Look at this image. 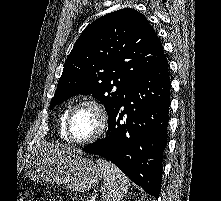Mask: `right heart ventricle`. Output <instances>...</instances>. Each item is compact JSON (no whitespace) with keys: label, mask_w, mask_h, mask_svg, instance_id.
<instances>
[{"label":"right heart ventricle","mask_w":221,"mask_h":201,"mask_svg":"<svg viewBox=\"0 0 221 201\" xmlns=\"http://www.w3.org/2000/svg\"><path fill=\"white\" fill-rule=\"evenodd\" d=\"M70 108L64 109L60 116H59V121H58V129H59V135L64 141H69L67 135H66V130H65V124H66V117L68 114Z\"/></svg>","instance_id":"1"}]
</instances>
